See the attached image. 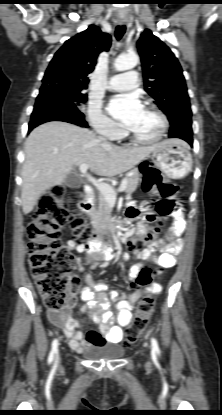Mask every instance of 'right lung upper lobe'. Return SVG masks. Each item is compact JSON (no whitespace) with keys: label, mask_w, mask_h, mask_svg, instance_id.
Listing matches in <instances>:
<instances>
[{"label":"right lung upper lobe","mask_w":222,"mask_h":415,"mask_svg":"<svg viewBox=\"0 0 222 415\" xmlns=\"http://www.w3.org/2000/svg\"><path fill=\"white\" fill-rule=\"evenodd\" d=\"M111 36L91 25L67 40L55 53L42 80V87L57 85L83 90L89 82L98 55L108 51Z\"/></svg>","instance_id":"1"}]
</instances>
